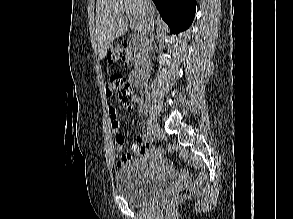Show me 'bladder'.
<instances>
[{
  "mask_svg": "<svg viewBox=\"0 0 293 219\" xmlns=\"http://www.w3.org/2000/svg\"><path fill=\"white\" fill-rule=\"evenodd\" d=\"M117 193L129 203L139 205L155 196L168 185L162 176H150L140 166L119 168L114 175Z\"/></svg>",
  "mask_w": 293,
  "mask_h": 219,
  "instance_id": "obj_1",
  "label": "bladder"
}]
</instances>
